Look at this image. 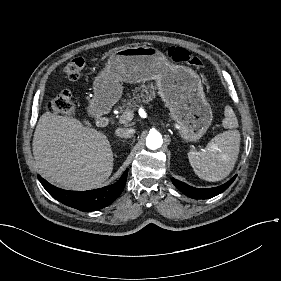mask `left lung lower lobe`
Instances as JSON below:
<instances>
[{"label":"left lung lower lobe","mask_w":281,"mask_h":281,"mask_svg":"<svg viewBox=\"0 0 281 281\" xmlns=\"http://www.w3.org/2000/svg\"><path fill=\"white\" fill-rule=\"evenodd\" d=\"M236 176L237 175H235L231 180H229L227 183L221 186L214 187V188H207V189H199V188L191 187L186 183L176 180L175 178H172V182L182 193H184L188 197L194 199H208L225 191L235 180Z\"/></svg>","instance_id":"1"}]
</instances>
